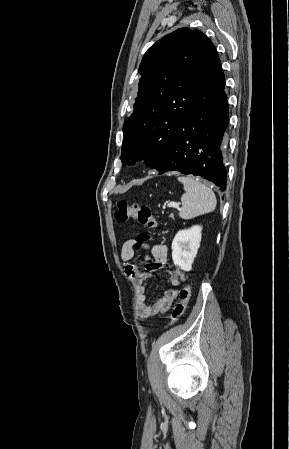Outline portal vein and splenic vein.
<instances>
[{
	"instance_id": "obj_1",
	"label": "portal vein and splenic vein",
	"mask_w": 289,
	"mask_h": 449,
	"mask_svg": "<svg viewBox=\"0 0 289 449\" xmlns=\"http://www.w3.org/2000/svg\"><path fill=\"white\" fill-rule=\"evenodd\" d=\"M168 207H174L176 209H179L180 203H175V202H169L167 203Z\"/></svg>"
}]
</instances>
